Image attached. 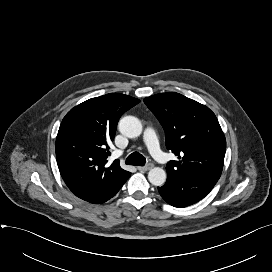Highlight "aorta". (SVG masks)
<instances>
[{
  "label": "aorta",
  "instance_id": "aorta-1",
  "mask_svg": "<svg viewBox=\"0 0 272 272\" xmlns=\"http://www.w3.org/2000/svg\"><path fill=\"white\" fill-rule=\"evenodd\" d=\"M118 127L121 134L128 138L138 137L142 133V124L134 116L123 117ZM148 180L154 186H162L166 181V172L160 167H154L148 173Z\"/></svg>",
  "mask_w": 272,
  "mask_h": 272
}]
</instances>
